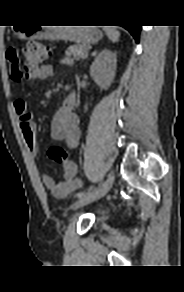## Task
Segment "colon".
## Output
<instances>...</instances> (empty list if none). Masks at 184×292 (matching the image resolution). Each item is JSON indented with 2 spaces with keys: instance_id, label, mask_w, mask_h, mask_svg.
<instances>
[{
  "instance_id": "1",
  "label": "colon",
  "mask_w": 184,
  "mask_h": 292,
  "mask_svg": "<svg viewBox=\"0 0 184 292\" xmlns=\"http://www.w3.org/2000/svg\"><path fill=\"white\" fill-rule=\"evenodd\" d=\"M49 51L40 43H29L22 48L12 47L7 51V59L11 66V76L15 81L28 76L47 60ZM49 158L58 164H65L68 160L67 151L60 146H52L48 150Z\"/></svg>"
}]
</instances>
